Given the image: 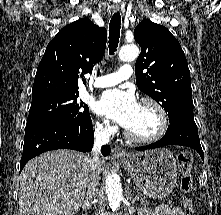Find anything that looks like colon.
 I'll use <instances>...</instances> for the list:
<instances>
[{
    "mask_svg": "<svg viewBox=\"0 0 221 215\" xmlns=\"http://www.w3.org/2000/svg\"><path fill=\"white\" fill-rule=\"evenodd\" d=\"M179 168L182 173L181 189L185 193H189L193 189V178H192V155L188 152H183L178 158ZM186 213L192 215L193 213V202L190 198H185L182 203Z\"/></svg>",
    "mask_w": 221,
    "mask_h": 215,
    "instance_id": "colon-1",
    "label": "colon"
}]
</instances>
